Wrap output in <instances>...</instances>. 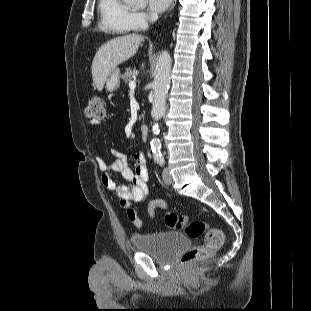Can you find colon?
Returning <instances> with one entry per match:
<instances>
[{
    "mask_svg": "<svg viewBox=\"0 0 311 311\" xmlns=\"http://www.w3.org/2000/svg\"><path fill=\"white\" fill-rule=\"evenodd\" d=\"M86 116L93 121H101L104 117L103 101L98 96L89 99L86 107ZM164 223L167 227L184 230L190 238H199L205 235V242L201 246L186 251L181 257V265L187 266L200 260L211 257L224 244L223 232L210 226L207 222L199 219L191 220L186 215L168 213L165 215Z\"/></svg>",
    "mask_w": 311,
    "mask_h": 311,
    "instance_id": "1",
    "label": "colon"
}]
</instances>
